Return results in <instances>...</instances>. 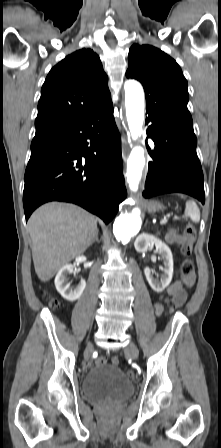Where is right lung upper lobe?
<instances>
[{"mask_svg":"<svg viewBox=\"0 0 221 448\" xmlns=\"http://www.w3.org/2000/svg\"><path fill=\"white\" fill-rule=\"evenodd\" d=\"M111 101L108 78L99 56L78 50L55 65L41 89L36 134L64 124Z\"/></svg>","mask_w":221,"mask_h":448,"instance_id":"1","label":"right lung upper lobe"}]
</instances>
